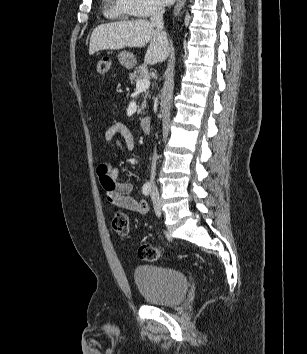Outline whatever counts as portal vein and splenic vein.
Masks as SVG:
<instances>
[{"mask_svg": "<svg viewBox=\"0 0 307 354\" xmlns=\"http://www.w3.org/2000/svg\"><path fill=\"white\" fill-rule=\"evenodd\" d=\"M150 86V80L149 79H141L137 81L136 83V91L137 92H143L146 91Z\"/></svg>", "mask_w": 307, "mask_h": 354, "instance_id": "portal-vein-and-splenic-vein-1", "label": "portal vein and splenic vein"}]
</instances>
